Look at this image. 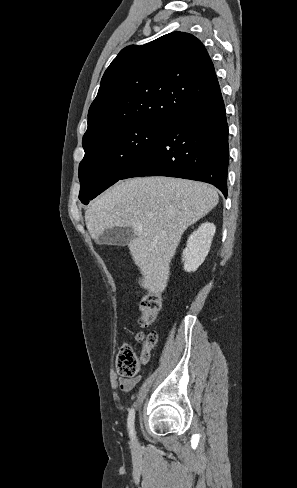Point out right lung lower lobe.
Returning <instances> with one entry per match:
<instances>
[{"label":"right lung lower lobe","instance_id":"98d812e1","mask_svg":"<svg viewBox=\"0 0 297 488\" xmlns=\"http://www.w3.org/2000/svg\"><path fill=\"white\" fill-rule=\"evenodd\" d=\"M228 124L221 92L173 119L121 178L169 176L203 181L227 197Z\"/></svg>","mask_w":297,"mask_h":488}]
</instances>
